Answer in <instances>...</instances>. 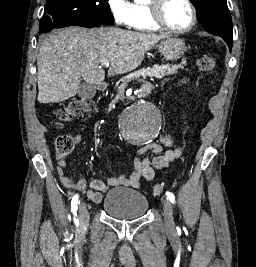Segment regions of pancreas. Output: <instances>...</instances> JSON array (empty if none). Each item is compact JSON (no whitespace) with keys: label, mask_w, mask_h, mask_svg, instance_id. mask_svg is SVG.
Instances as JSON below:
<instances>
[{"label":"pancreas","mask_w":256,"mask_h":267,"mask_svg":"<svg viewBox=\"0 0 256 267\" xmlns=\"http://www.w3.org/2000/svg\"><path fill=\"white\" fill-rule=\"evenodd\" d=\"M186 66V60H183L179 66H154V68H147L146 76H156V78H163V76H169V74H177L178 68H182L183 66ZM141 74H132V76H128V78H123L121 80L122 84L119 86L118 90L121 94V92H124L125 88H127L129 82L131 80H134V78H140ZM146 76H143V78H146Z\"/></svg>","instance_id":"1"}]
</instances>
